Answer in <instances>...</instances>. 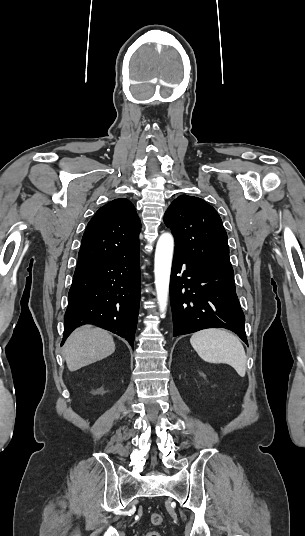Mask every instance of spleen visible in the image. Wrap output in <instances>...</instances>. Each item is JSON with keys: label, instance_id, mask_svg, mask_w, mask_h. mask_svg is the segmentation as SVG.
Wrapping results in <instances>:
<instances>
[{"label": "spleen", "instance_id": "1", "mask_svg": "<svg viewBox=\"0 0 305 536\" xmlns=\"http://www.w3.org/2000/svg\"><path fill=\"white\" fill-rule=\"evenodd\" d=\"M190 344L198 356L209 364H229L237 374L244 378L247 358L237 336L227 330H201L190 338Z\"/></svg>", "mask_w": 305, "mask_h": 536}]
</instances>
